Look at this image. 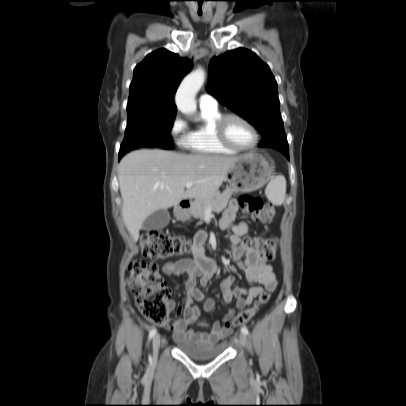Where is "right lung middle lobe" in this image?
<instances>
[{
  "instance_id": "right-lung-middle-lobe-1",
  "label": "right lung middle lobe",
  "mask_w": 406,
  "mask_h": 406,
  "mask_svg": "<svg viewBox=\"0 0 406 406\" xmlns=\"http://www.w3.org/2000/svg\"><path fill=\"white\" fill-rule=\"evenodd\" d=\"M175 113L162 114L151 111L128 112L125 137L121 144L119 156L136 148L172 149L170 131Z\"/></svg>"
}]
</instances>
